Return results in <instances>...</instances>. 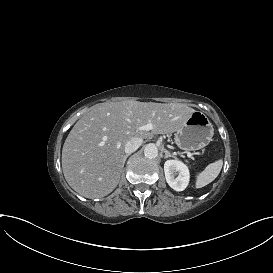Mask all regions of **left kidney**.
I'll use <instances>...</instances> for the list:
<instances>
[{
    "instance_id": "left-kidney-1",
    "label": "left kidney",
    "mask_w": 273,
    "mask_h": 273,
    "mask_svg": "<svg viewBox=\"0 0 273 273\" xmlns=\"http://www.w3.org/2000/svg\"><path fill=\"white\" fill-rule=\"evenodd\" d=\"M165 178L168 185L175 191H183L189 183L188 167L179 160H167L164 164ZM178 173L175 178L174 174Z\"/></svg>"
}]
</instances>
